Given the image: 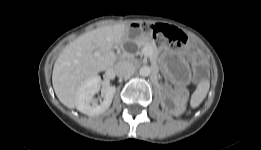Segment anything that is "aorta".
<instances>
[{
	"instance_id": "1",
	"label": "aorta",
	"mask_w": 261,
	"mask_h": 150,
	"mask_svg": "<svg viewBox=\"0 0 261 150\" xmlns=\"http://www.w3.org/2000/svg\"><path fill=\"white\" fill-rule=\"evenodd\" d=\"M151 73H152V68L149 66H143L139 69V74L142 77H147V76L151 75Z\"/></svg>"
}]
</instances>
